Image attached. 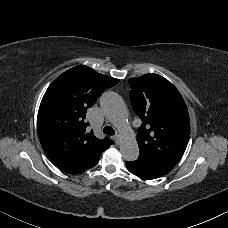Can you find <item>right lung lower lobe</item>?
I'll list each match as a JSON object with an SVG mask.
<instances>
[{
    "instance_id": "obj_1",
    "label": "right lung lower lobe",
    "mask_w": 228,
    "mask_h": 228,
    "mask_svg": "<svg viewBox=\"0 0 228 228\" xmlns=\"http://www.w3.org/2000/svg\"><path fill=\"white\" fill-rule=\"evenodd\" d=\"M100 155H95L87 160H85L83 163L79 164L78 166L74 167L72 170H70L68 173H71V174H76V173H80V172H83L87 169H90L92 167H94L99 158H100Z\"/></svg>"
}]
</instances>
